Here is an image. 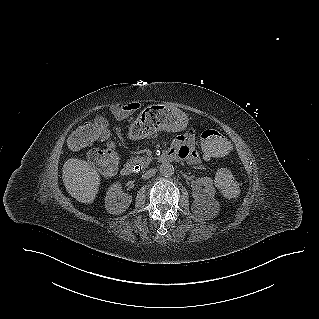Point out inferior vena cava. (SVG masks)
Returning <instances> with one entry per match:
<instances>
[{
  "mask_svg": "<svg viewBox=\"0 0 319 319\" xmlns=\"http://www.w3.org/2000/svg\"><path fill=\"white\" fill-rule=\"evenodd\" d=\"M156 173V169H150L148 171H146L143 175L142 178L143 179H149L151 176H153Z\"/></svg>",
  "mask_w": 319,
  "mask_h": 319,
  "instance_id": "1",
  "label": "inferior vena cava"
}]
</instances>
